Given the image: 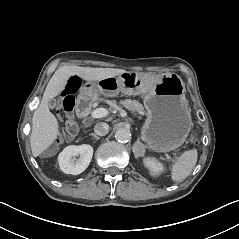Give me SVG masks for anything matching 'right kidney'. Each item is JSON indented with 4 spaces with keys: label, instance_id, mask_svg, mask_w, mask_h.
Wrapping results in <instances>:
<instances>
[{
    "label": "right kidney",
    "instance_id": "obj_1",
    "mask_svg": "<svg viewBox=\"0 0 239 239\" xmlns=\"http://www.w3.org/2000/svg\"><path fill=\"white\" fill-rule=\"evenodd\" d=\"M92 156V146L88 144L70 145L59 154L58 163L64 173L78 175L89 166Z\"/></svg>",
    "mask_w": 239,
    "mask_h": 239
}]
</instances>
